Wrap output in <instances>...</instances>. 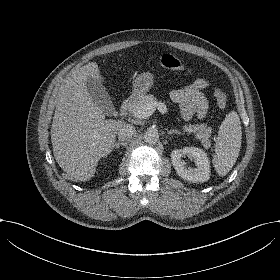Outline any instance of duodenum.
Returning a JSON list of instances; mask_svg holds the SVG:
<instances>
[{
	"label": "duodenum",
	"instance_id": "1",
	"mask_svg": "<svg viewBox=\"0 0 280 280\" xmlns=\"http://www.w3.org/2000/svg\"><path fill=\"white\" fill-rule=\"evenodd\" d=\"M132 103L133 101L131 99L124 100L119 107L120 114L124 115L131 108Z\"/></svg>",
	"mask_w": 280,
	"mask_h": 280
}]
</instances>
